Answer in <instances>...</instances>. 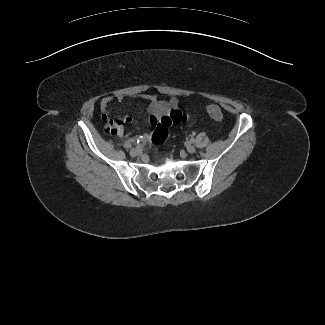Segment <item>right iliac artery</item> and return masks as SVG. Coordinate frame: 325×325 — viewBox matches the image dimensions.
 <instances>
[{"label":"right iliac artery","instance_id":"1","mask_svg":"<svg viewBox=\"0 0 325 325\" xmlns=\"http://www.w3.org/2000/svg\"><path fill=\"white\" fill-rule=\"evenodd\" d=\"M124 147H125V148H130V147H131V143H130V142H126V143L124 144Z\"/></svg>","mask_w":325,"mask_h":325}]
</instances>
